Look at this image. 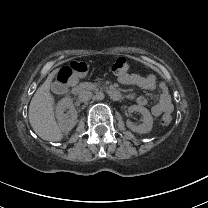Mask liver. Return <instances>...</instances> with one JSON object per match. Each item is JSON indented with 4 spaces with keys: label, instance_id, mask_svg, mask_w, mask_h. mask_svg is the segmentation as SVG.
<instances>
[{
    "label": "liver",
    "instance_id": "1",
    "mask_svg": "<svg viewBox=\"0 0 208 208\" xmlns=\"http://www.w3.org/2000/svg\"><path fill=\"white\" fill-rule=\"evenodd\" d=\"M60 69L61 67H57L48 74L44 83L35 92L28 111L29 122L34 132L49 142H60L64 138L55 119V98L50 92L51 84Z\"/></svg>",
    "mask_w": 208,
    "mask_h": 208
}]
</instances>
